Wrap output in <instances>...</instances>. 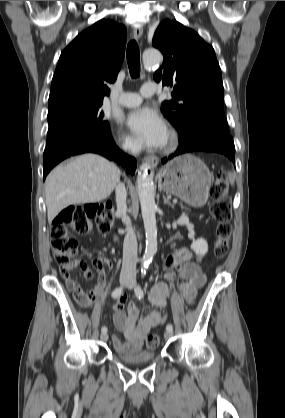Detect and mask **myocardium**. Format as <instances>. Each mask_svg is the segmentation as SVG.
Returning a JSON list of instances; mask_svg holds the SVG:
<instances>
[{"label":"myocardium","mask_w":285,"mask_h":418,"mask_svg":"<svg viewBox=\"0 0 285 418\" xmlns=\"http://www.w3.org/2000/svg\"><path fill=\"white\" fill-rule=\"evenodd\" d=\"M178 139L179 138L177 132L173 129H170L167 132L164 141L161 143L160 149L167 153L174 151L177 147Z\"/></svg>","instance_id":"myocardium-1"}]
</instances>
